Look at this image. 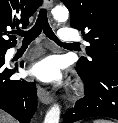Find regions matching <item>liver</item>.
<instances>
[{
    "mask_svg": "<svg viewBox=\"0 0 118 123\" xmlns=\"http://www.w3.org/2000/svg\"><path fill=\"white\" fill-rule=\"evenodd\" d=\"M0 123H15V120L9 114L0 110Z\"/></svg>",
    "mask_w": 118,
    "mask_h": 123,
    "instance_id": "1",
    "label": "liver"
}]
</instances>
